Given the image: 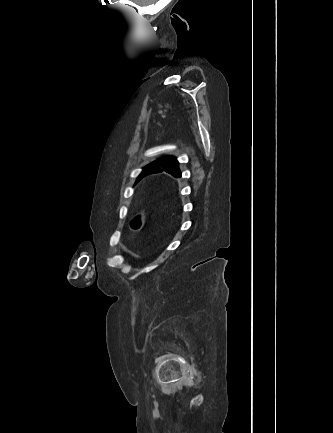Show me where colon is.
I'll return each instance as SVG.
<instances>
[{
	"instance_id": "colon-1",
	"label": "colon",
	"mask_w": 333,
	"mask_h": 433,
	"mask_svg": "<svg viewBox=\"0 0 333 433\" xmlns=\"http://www.w3.org/2000/svg\"><path fill=\"white\" fill-rule=\"evenodd\" d=\"M142 221H143V215L136 216L131 222V227L133 229H139L142 225Z\"/></svg>"
}]
</instances>
